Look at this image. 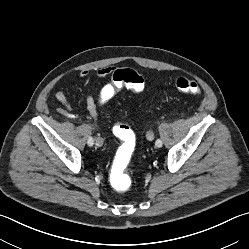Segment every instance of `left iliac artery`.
Returning <instances> with one entry per match:
<instances>
[{
  "instance_id": "44dca946",
  "label": "left iliac artery",
  "mask_w": 249,
  "mask_h": 249,
  "mask_svg": "<svg viewBox=\"0 0 249 249\" xmlns=\"http://www.w3.org/2000/svg\"><path fill=\"white\" fill-rule=\"evenodd\" d=\"M155 145L157 147H161L162 146V141L160 139H157L156 142H155Z\"/></svg>"
}]
</instances>
